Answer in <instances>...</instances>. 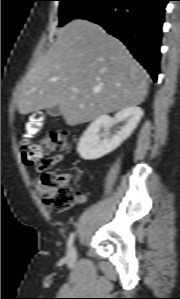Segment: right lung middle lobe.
<instances>
[{
  "mask_svg": "<svg viewBox=\"0 0 180 299\" xmlns=\"http://www.w3.org/2000/svg\"><path fill=\"white\" fill-rule=\"evenodd\" d=\"M59 7V26H63L70 20L78 18L102 0H60Z\"/></svg>",
  "mask_w": 180,
  "mask_h": 299,
  "instance_id": "1",
  "label": "right lung middle lobe"
}]
</instances>
